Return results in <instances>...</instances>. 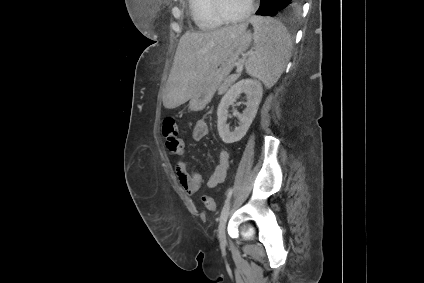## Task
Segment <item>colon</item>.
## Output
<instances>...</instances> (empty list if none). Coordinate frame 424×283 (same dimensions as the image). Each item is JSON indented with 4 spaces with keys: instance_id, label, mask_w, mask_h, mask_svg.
Returning a JSON list of instances; mask_svg holds the SVG:
<instances>
[{
    "instance_id": "5ec220e1",
    "label": "colon",
    "mask_w": 424,
    "mask_h": 283,
    "mask_svg": "<svg viewBox=\"0 0 424 283\" xmlns=\"http://www.w3.org/2000/svg\"><path fill=\"white\" fill-rule=\"evenodd\" d=\"M162 133L166 139V144L172 147V153H181L183 151V142L178 135L177 120L172 116H167L163 120ZM175 151V152H174ZM202 201L209 211H215L217 208L216 202L210 196H203Z\"/></svg>"
}]
</instances>
